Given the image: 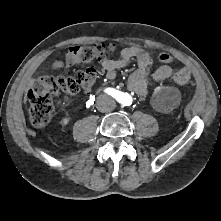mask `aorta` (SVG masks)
Masks as SVG:
<instances>
[{
  "mask_svg": "<svg viewBox=\"0 0 221 221\" xmlns=\"http://www.w3.org/2000/svg\"><path fill=\"white\" fill-rule=\"evenodd\" d=\"M131 102H132V98H131L130 95H128V94H123V95L121 96V99H120V103H121V104L127 106V105H130Z\"/></svg>",
  "mask_w": 221,
  "mask_h": 221,
  "instance_id": "obj_1",
  "label": "aorta"
}]
</instances>
